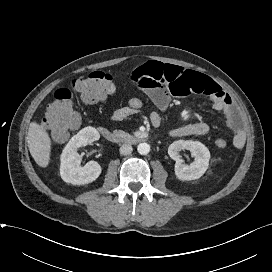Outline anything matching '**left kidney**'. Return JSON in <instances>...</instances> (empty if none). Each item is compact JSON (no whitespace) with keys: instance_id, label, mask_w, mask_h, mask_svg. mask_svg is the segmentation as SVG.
I'll return each instance as SVG.
<instances>
[{"instance_id":"left-kidney-1","label":"left kidney","mask_w":272,"mask_h":272,"mask_svg":"<svg viewBox=\"0 0 272 272\" xmlns=\"http://www.w3.org/2000/svg\"><path fill=\"white\" fill-rule=\"evenodd\" d=\"M189 150L194 157L190 164H184L180 159L179 151ZM169 156L176 161L175 175L179 180L189 181L200 178L207 170L210 160L208 148L199 141L177 140L168 148Z\"/></svg>"}]
</instances>
